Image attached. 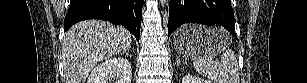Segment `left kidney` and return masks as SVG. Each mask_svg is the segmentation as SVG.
I'll return each instance as SVG.
<instances>
[{"instance_id": "left-kidney-1", "label": "left kidney", "mask_w": 307, "mask_h": 83, "mask_svg": "<svg viewBox=\"0 0 307 83\" xmlns=\"http://www.w3.org/2000/svg\"><path fill=\"white\" fill-rule=\"evenodd\" d=\"M182 83H211L208 80H204L202 78H198L196 76L187 75L182 79Z\"/></svg>"}]
</instances>
